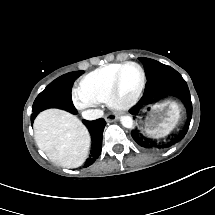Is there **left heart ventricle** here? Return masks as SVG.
Segmentation results:
<instances>
[{
	"mask_svg": "<svg viewBox=\"0 0 215 215\" xmlns=\"http://www.w3.org/2000/svg\"><path fill=\"white\" fill-rule=\"evenodd\" d=\"M138 78H139L138 72L134 67L128 66L122 68V71L119 74L120 85L117 88L118 93L122 94L133 93L138 82Z\"/></svg>",
	"mask_w": 215,
	"mask_h": 215,
	"instance_id": "b2bd125f",
	"label": "left heart ventricle"
}]
</instances>
